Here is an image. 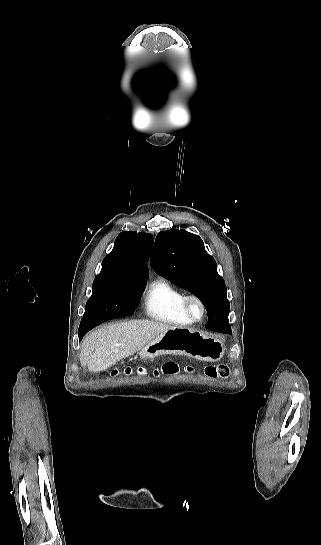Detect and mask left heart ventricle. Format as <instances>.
<instances>
[{"label": "left heart ventricle", "instance_id": "left-heart-ventricle-1", "mask_svg": "<svg viewBox=\"0 0 321 545\" xmlns=\"http://www.w3.org/2000/svg\"><path fill=\"white\" fill-rule=\"evenodd\" d=\"M193 309L196 314L199 313V307L197 305H194Z\"/></svg>", "mask_w": 321, "mask_h": 545}]
</instances>
